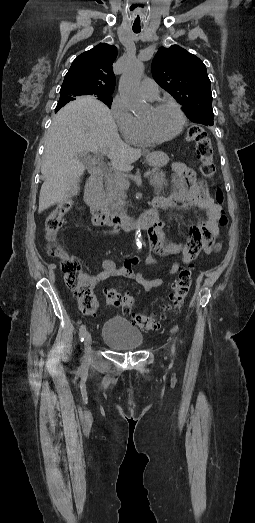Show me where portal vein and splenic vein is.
<instances>
[{
    "label": "portal vein and splenic vein",
    "instance_id": "18ae733b",
    "mask_svg": "<svg viewBox=\"0 0 255 523\" xmlns=\"http://www.w3.org/2000/svg\"><path fill=\"white\" fill-rule=\"evenodd\" d=\"M104 154H106V152H104ZM106 167H109V164H106ZM105 173L112 174V175H123L125 173V170L123 168H117L115 165H112L110 167V169L105 170ZM148 177H149L148 171L141 173L142 180H145ZM123 186H124V188H126V190L128 188V191H131V188H129V182H126V180H124Z\"/></svg>",
    "mask_w": 255,
    "mask_h": 523
}]
</instances>
